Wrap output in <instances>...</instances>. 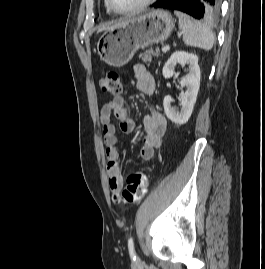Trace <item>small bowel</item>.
I'll use <instances>...</instances> for the list:
<instances>
[{"instance_id":"c3829d8e","label":"small bowel","mask_w":265,"mask_h":269,"mask_svg":"<svg viewBox=\"0 0 265 269\" xmlns=\"http://www.w3.org/2000/svg\"><path fill=\"white\" fill-rule=\"evenodd\" d=\"M134 75L137 81V90L150 98L152 108L144 116L143 126L145 136L140 147V155L144 161H151L155 157L156 150L162 144V137L166 131V119L154 106L152 99L155 92V80L146 67L138 64L134 67ZM114 116L120 123V130L124 134L131 133L135 128V122L128 114V108L122 97H114L106 101L100 111V123L102 127L107 156L108 186L116 203L120 202L122 188L121 168L118 163L119 139L115 125L111 122Z\"/></svg>"}]
</instances>
